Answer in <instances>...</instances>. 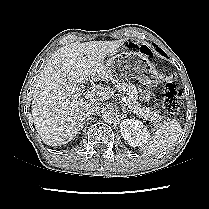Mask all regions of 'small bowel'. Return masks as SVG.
I'll list each match as a JSON object with an SVG mask.
<instances>
[{
	"mask_svg": "<svg viewBox=\"0 0 209 209\" xmlns=\"http://www.w3.org/2000/svg\"><path fill=\"white\" fill-rule=\"evenodd\" d=\"M151 92H149V91H145L143 94H142V98L144 99V100H148L150 97H151Z\"/></svg>",
	"mask_w": 209,
	"mask_h": 209,
	"instance_id": "c3829d8e",
	"label": "small bowel"
}]
</instances>
